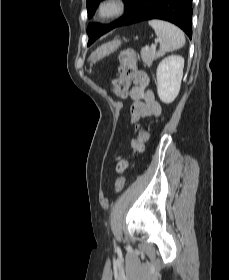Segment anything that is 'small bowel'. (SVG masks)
<instances>
[{
	"label": "small bowel",
	"instance_id": "1",
	"mask_svg": "<svg viewBox=\"0 0 229 280\" xmlns=\"http://www.w3.org/2000/svg\"><path fill=\"white\" fill-rule=\"evenodd\" d=\"M116 85L117 80L113 83V91L116 95L122 99L129 96L134 101L132 107V117L134 119L149 116L157 117L161 114L160 105L155 101L152 92L145 86L137 85L130 88L131 83H129L126 88L121 91H117Z\"/></svg>",
	"mask_w": 229,
	"mask_h": 280
}]
</instances>
